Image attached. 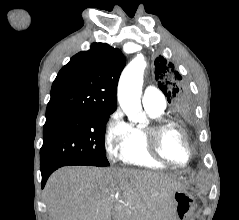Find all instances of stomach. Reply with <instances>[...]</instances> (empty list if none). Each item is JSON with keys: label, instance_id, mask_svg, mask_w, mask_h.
<instances>
[{"label": "stomach", "instance_id": "stomach-1", "mask_svg": "<svg viewBox=\"0 0 239 220\" xmlns=\"http://www.w3.org/2000/svg\"><path fill=\"white\" fill-rule=\"evenodd\" d=\"M172 204L177 220H187L194 209V199L186 190L173 192Z\"/></svg>", "mask_w": 239, "mask_h": 220}]
</instances>
